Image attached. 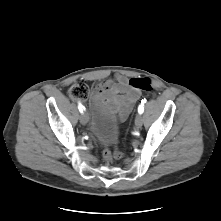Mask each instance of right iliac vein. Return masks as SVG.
Returning a JSON list of instances; mask_svg holds the SVG:
<instances>
[{
  "label": "right iliac vein",
  "mask_w": 221,
  "mask_h": 221,
  "mask_svg": "<svg viewBox=\"0 0 221 221\" xmlns=\"http://www.w3.org/2000/svg\"><path fill=\"white\" fill-rule=\"evenodd\" d=\"M89 121V116L86 112L82 113L80 115V122L83 124V125H86Z\"/></svg>",
  "instance_id": "1"
}]
</instances>
